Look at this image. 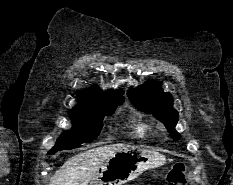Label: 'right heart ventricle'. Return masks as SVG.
<instances>
[{"mask_svg": "<svg viewBox=\"0 0 233 185\" xmlns=\"http://www.w3.org/2000/svg\"><path fill=\"white\" fill-rule=\"evenodd\" d=\"M128 125L134 136L139 139H147L152 132L150 124L138 116H132L128 121Z\"/></svg>", "mask_w": 233, "mask_h": 185, "instance_id": "e07e8e85", "label": "right heart ventricle"}]
</instances>
